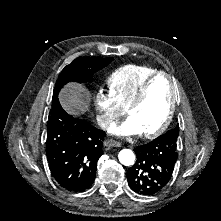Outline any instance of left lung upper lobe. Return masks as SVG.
I'll use <instances>...</instances> for the list:
<instances>
[{"label":"left lung upper lobe","mask_w":221,"mask_h":221,"mask_svg":"<svg viewBox=\"0 0 221 221\" xmlns=\"http://www.w3.org/2000/svg\"><path fill=\"white\" fill-rule=\"evenodd\" d=\"M179 133V126L177 125L174 129L167 131L164 136L169 138L177 139Z\"/></svg>","instance_id":"5c2ea615"}]
</instances>
